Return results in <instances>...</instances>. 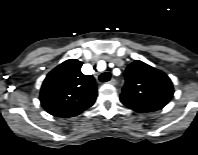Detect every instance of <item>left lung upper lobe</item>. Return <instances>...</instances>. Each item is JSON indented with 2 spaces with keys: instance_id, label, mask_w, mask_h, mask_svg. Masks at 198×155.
Instances as JSON below:
<instances>
[{
  "instance_id": "5c2ea615",
  "label": "left lung upper lobe",
  "mask_w": 198,
  "mask_h": 155,
  "mask_svg": "<svg viewBox=\"0 0 198 155\" xmlns=\"http://www.w3.org/2000/svg\"><path fill=\"white\" fill-rule=\"evenodd\" d=\"M174 93L170 78L160 70L136 60L125 71L121 102L138 112L162 109Z\"/></svg>"
}]
</instances>
